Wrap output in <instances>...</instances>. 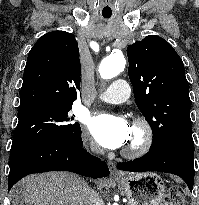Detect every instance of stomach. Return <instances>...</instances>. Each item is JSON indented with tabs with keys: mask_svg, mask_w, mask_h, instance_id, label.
<instances>
[{
	"mask_svg": "<svg viewBox=\"0 0 199 205\" xmlns=\"http://www.w3.org/2000/svg\"><path fill=\"white\" fill-rule=\"evenodd\" d=\"M116 182L131 205H159L165 196L164 182L153 172L127 174Z\"/></svg>",
	"mask_w": 199,
	"mask_h": 205,
	"instance_id": "0dacf381",
	"label": "stomach"
}]
</instances>
